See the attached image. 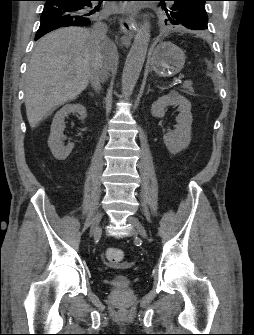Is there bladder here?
<instances>
[{
	"mask_svg": "<svg viewBox=\"0 0 254 335\" xmlns=\"http://www.w3.org/2000/svg\"><path fill=\"white\" fill-rule=\"evenodd\" d=\"M131 281V275L128 272H114L109 283L116 290H127Z\"/></svg>",
	"mask_w": 254,
	"mask_h": 335,
	"instance_id": "obj_1",
	"label": "bladder"
}]
</instances>
